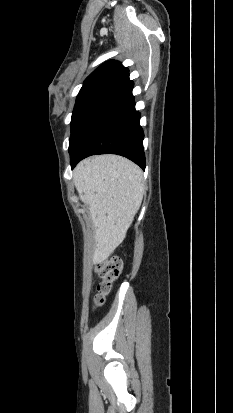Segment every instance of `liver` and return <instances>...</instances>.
Listing matches in <instances>:
<instances>
[{"label": "liver", "mask_w": 233, "mask_h": 413, "mask_svg": "<svg viewBox=\"0 0 233 413\" xmlns=\"http://www.w3.org/2000/svg\"><path fill=\"white\" fill-rule=\"evenodd\" d=\"M74 183L94 226L93 262L102 263L122 243L140 208L142 170L124 157L98 155L76 166Z\"/></svg>", "instance_id": "obj_1"}]
</instances>
